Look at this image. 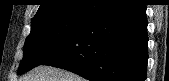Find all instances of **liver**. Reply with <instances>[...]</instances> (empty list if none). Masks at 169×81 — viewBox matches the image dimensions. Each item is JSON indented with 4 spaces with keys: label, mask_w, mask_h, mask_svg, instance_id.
Segmentation results:
<instances>
[{
    "label": "liver",
    "mask_w": 169,
    "mask_h": 81,
    "mask_svg": "<svg viewBox=\"0 0 169 81\" xmlns=\"http://www.w3.org/2000/svg\"><path fill=\"white\" fill-rule=\"evenodd\" d=\"M20 81H82V78L59 68L39 66L26 74Z\"/></svg>",
    "instance_id": "1"
}]
</instances>
